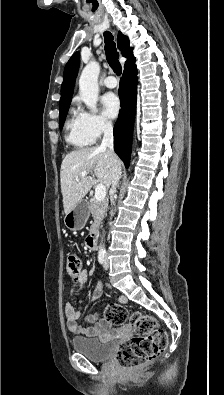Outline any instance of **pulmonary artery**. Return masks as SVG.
Instances as JSON below:
<instances>
[{
  "label": "pulmonary artery",
  "mask_w": 224,
  "mask_h": 395,
  "mask_svg": "<svg viewBox=\"0 0 224 395\" xmlns=\"http://www.w3.org/2000/svg\"><path fill=\"white\" fill-rule=\"evenodd\" d=\"M107 88H115L117 86V80L113 76H108L103 81Z\"/></svg>",
  "instance_id": "1"
}]
</instances>
